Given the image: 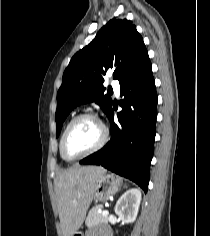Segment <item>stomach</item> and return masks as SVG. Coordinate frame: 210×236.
Returning a JSON list of instances; mask_svg holds the SVG:
<instances>
[{"label": "stomach", "instance_id": "1", "mask_svg": "<svg viewBox=\"0 0 210 236\" xmlns=\"http://www.w3.org/2000/svg\"><path fill=\"white\" fill-rule=\"evenodd\" d=\"M121 187V181L114 175L103 174L96 183L93 193V199L96 202H104L110 196L114 195ZM73 236H83L81 232L75 233Z\"/></svg>", "mask_w": 210, "mask_h": 236}]
</instances>
